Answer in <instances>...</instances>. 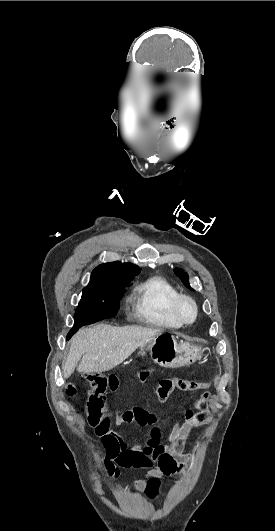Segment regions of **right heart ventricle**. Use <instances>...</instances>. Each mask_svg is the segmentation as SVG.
Instances as JSON below:
<instances>
[{
    "label": "right heart ventricle",
    "mask_w": 275,
    "mask_h": 531,
    "mask_svg": "<svg viewBox=\"0 0 275 531\" xmlns=\"http://www.w3.org/2000/svg\"><path fill=\"white\" fill-rule=\"evenodd\" d=\"M177 293L175 287L160 276H151L135 288L136 313L145 321L159 327L180 326L170 312V300Z\"/></svg>",
    "instance_id": "1"
}]
</instances>
